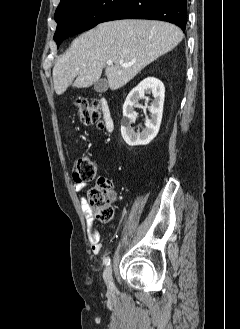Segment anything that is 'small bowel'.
<instances>
[{
	"mask_svg": "<svg viewBox=\"0 0 240 329\" xmlns=\"http://www.w3.org/2000/svg\"><path fill=\"white\" fill-rule=\"evenodd\" d=\"M84 188H85V184H82V183H74V185H73V189L77 193H81ZM80 204H81L82 210L84 212V215H85L86 221H87L86 231H87V237H88L89 243L91 245L92 251L95 253H98V252H100V250L102 248L101 235L97 229V226L91 215V210L87 206L86 200L84 197H80Z\"/></svg>",
	"mask_w": 240,
	"mask_h": 329,
	"instance_id": "obj_1",
	"label": "small bowel"
}]
</instances>
